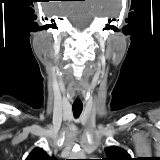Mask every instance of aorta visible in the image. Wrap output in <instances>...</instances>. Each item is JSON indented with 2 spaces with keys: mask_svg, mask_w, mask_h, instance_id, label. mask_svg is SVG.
I'll return each instance as SVG.
<instances>
[{
  "mask_svg": "<svg viewBox=\"0 0 160 160\" xmlns=\"http://www.w3.org/2000/svg\"><path fill=\"white\" fill-rule=\"evenodd\" d=\"M71 159H85V154L83 152H73Z\"/></svg>",
  "mask_w": 160,
  "mask_h": 160,
  "instance_id": "aorta-1",
  "label": "aorta"
}]
</instances>
